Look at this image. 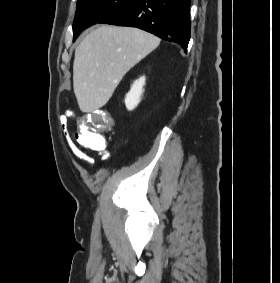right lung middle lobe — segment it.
<instances>
[{
  "label": "right lung middle lobe",
  "mask_w": 280,
  "mask_h": 283,
  "mask_svg": "<svg viewBox=\"0 0 280 283\" xmlns=\"http://www.w3.org/2000/svg\"><path fill=\"white\" fill-rule=\"evenodd\" d=\"M133 0H78L73 23V41L86 28L100 23Z\"/></svg>",
  "instance_id": "obj_1"
}]
</instances>
